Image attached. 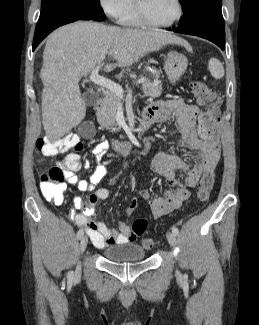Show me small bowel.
<instances>
[{"label":"small bowel","instance_id":"1","mask_svg":"<svg viewBox=\"0 0 259 325\" xmlns=\"http://www.w3.org/2000/svg\"><path fill=\"white\" fill-rule=\"evenodd\" d=\"M144 114H148L153 123L172 121L181 133L183 145L195 153L199 163L192 169L188 162L176 155L158 152L151 161L152 172L164 178L166 188L162 197L152 194L147 189L138 191L141 198L146 200L152 215L160 218L179 208L183 201L191 195V189L196 187L199 180L207 173L214 172L220 158L218 129H206L208 112L200 109L183 98H173L157 101L148 106ZM217 118L218 112L216 111ZM217 122V121H216ZM108 150L107 142H99L93 149L98 162L97 167L88 180L80 179L77 175L82 166L90 167L89 162L82 164L79 156L69 154L58 162L64 169L66 181L82 192H92L89 204L80 196L73 198L74 208L81 213L74 214L73 219L85 228L92 243L97 248H105L113 244L131 243L137 239V234L124 222H119L118 231L97 221L94 217V206L98 201L106 200L110 192L107 188H96L106 177L107 169L103 158ZM179 173H186L184 181L178 179Z\"/></svg>","mask_w":259,"mask_h":325}]
</instances>
